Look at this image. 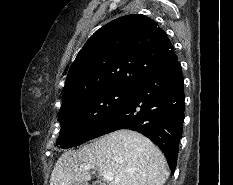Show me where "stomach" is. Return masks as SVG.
I'll return each instance as SVG.
<instances>
[{"mask_svg":"<svg viewBox=\"0 0 233 185\" xmlns=\"http://www.w3.org/2000/svg\"><path fill=\"white\" fill-rule=\"evenodd\" d=\"M74 185H84L83 183H75Z\"/></svg>","mask_w":233,"mask_h":185,"instance_id":"0dacf381","label":"stomach"}]
</instances>
